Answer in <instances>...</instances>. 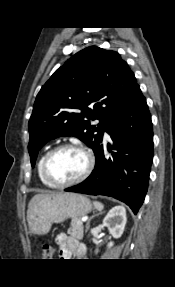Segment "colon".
<instances>
[{
    "label": "colon",
    "instance_id": "obj_1",
    "mask_svg": "<svg viewBox=\"0 0 175 287\" xmlns=\"http://www.w3.org/2000/svg\"><path fill=\"white\" fill-rule=\"evenodd\" d=\"M43 256L45 259H50L53 256V248L49 244H44L42 247Z\"/></svg>",
    "mask_w": 175,
    "mask_h": 287
}]
</instances>
